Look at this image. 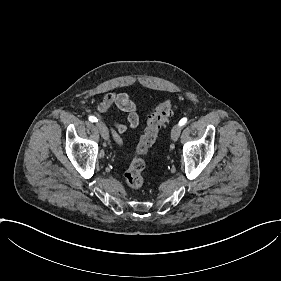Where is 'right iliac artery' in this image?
<instances>
[{"label":"right iliac artery","instance_id":"1","mask_svg":"<svg viewBox=\"0 0 281 281\" xmlns=\"http://www.w3.org/2000/svg\"><path fill=\"white\" fill-rule=\"evenodd\" d=\"M89 121H91L93 123V122H97L98 119L94 116H89Z\"/></svg>","mask_w":281,"mask_h":281}]
</instances>
